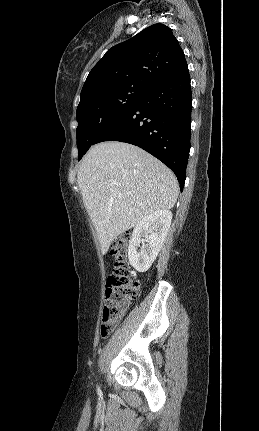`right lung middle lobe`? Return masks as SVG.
<instances>
[{"instance_id":"1","label":"right lung middle lobe","mask_w":259,"mask_h":431,"mask_svg":"<svg viewBox=\"0 0 259 431\" xmlns=\"http://www.w3.org/2000/svg\"><path fill=\"white\" fill-rule=\"evenodd\" d=\"M146 91L137 86H124L94 94L79 103L76 114L78 160Z\"/></svg>"}]
</instances>
